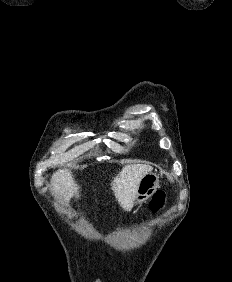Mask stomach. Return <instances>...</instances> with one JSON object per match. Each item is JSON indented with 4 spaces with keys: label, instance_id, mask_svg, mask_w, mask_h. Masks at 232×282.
<instances>
[{
    "label": "stomach",
    "instance_id": "0dacf381",
    "mask_svg": "<svg viewBox=\"0 0 232 282\" xmlns=\"http://www.w3.org/2000/svg\"><path fill=\"white\" fill-rule=\"evenodd\" d=\"M159 187V176L156 173L149 172L145 174L140 181L135 202L141 205L147 201Z\"/></svg>",
    "mask_w": 232,
    "mask_h": 282
}]
</instances>
